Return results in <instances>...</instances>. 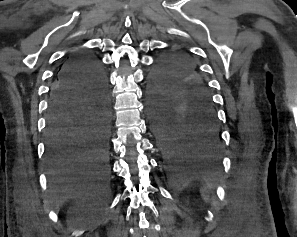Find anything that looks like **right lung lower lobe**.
Returning a JSON list of instances; mask_svg holds the SVG:
<instances>
[{
  "label": "right lung lower lobe",
  "instance_id": "98d812e1",
  "mask_svg": "<svg viewBox=\"0 0 297 237\" xmlns=\"http://www.w3.org/2000/svg\"><path fill=\"white\" fill-rule=\"evenodd\" d=\"M50 91L46 125L49 171L109 172V96L96 58L84 51L70 55Z\"/></svg>",
  "mask_w": 297,
  "mask_h": 237
}]
</instances>
